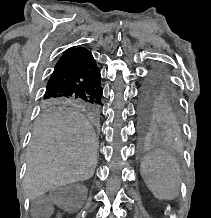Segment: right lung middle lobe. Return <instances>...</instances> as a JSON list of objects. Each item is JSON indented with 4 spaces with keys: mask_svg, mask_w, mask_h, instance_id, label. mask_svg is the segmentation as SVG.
Segmentation results:
<instances>
[{
    "mask_svg": "<svg viewBox=\"0 0 211 218\" xmlns=\"http://www.w3.org/2000/svg\"><path fill=\"white\" fill-rule=\"evenodd\" d=\"M101 104L89 101L88 99H81L76 97H44L41 102V107L44 110H52L61 107L78 106L85 108L91 113H97Z\"/></svg>",
    "mask_w": 211,
    "mask_h": 218,
    "instance_id": "obj_1",
    "label": "right lung middle lobe"
}]
</instances>
